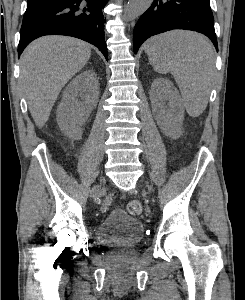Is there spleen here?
<instances>
[{"mask_svg":"<svg viewBox=\"0 0 245 300\" xmlns=\"http://www.w3.org/2000/svg\"><path fill=\"white\" fill-rule=\"evenodd\" d=\"M145 53L154 70L171 73L189 115L199 116L207 106L214 71V53L201 35L170 31L150 38Z\"/></svg>","mask_w":245,"mask_h":300,"instance_id":"spleen-1","label":"spleen"}]
</instances>
